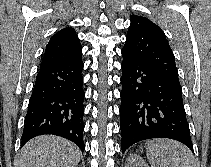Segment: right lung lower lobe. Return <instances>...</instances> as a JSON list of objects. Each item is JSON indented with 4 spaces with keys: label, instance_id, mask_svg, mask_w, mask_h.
I'll use <instances>...</instances> for the list:
<instances>
[{
    "label": "right lung lower lobe",
    "instance_id": "obj_1",
    "mask_svg": "<svg viewBox=\"0 0 211 167\" xmlns=\"http://www.w3.org/2000/svg\"><path fill=\"white\" fill-rule=\"evenodd\" d=\"M83 66L81 55L40 68L29 100L21 146L36 136L53 134L74 142L84 152Z\"/></svg>",
    "mask_w": 211,
    "mask_h": 167
}]
</instances>
